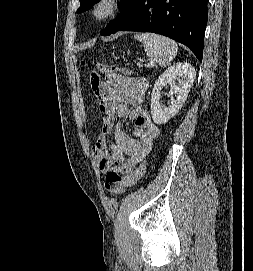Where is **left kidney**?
I'll list each match as a JSON object with an SVG mask.
<instances>
[{"label":"left kidney","mask_w":253,"mask_h":271,"mask_svg":"<svg viewBox=\"0 0 253 271\" xmlns=\"http://www.w3.org/2000/svg\"><path fill=\"white\" fill-rule=\"evenodd\" d=\"M196 77L195 68L189 63H176L170 66L155 81L151 93V115L154 123L161 125L174 117L185 103ZM178 81V84H176ZM170 85L169 95H175L168 107L160 102L161 90Z\"/></svg>","instance_id":"obj_1"}]
</instances>
